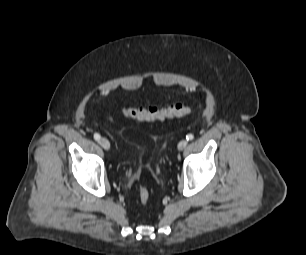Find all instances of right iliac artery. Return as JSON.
I'll use <instances>...</instances> for the list:
<instances>
[{
  "instance_id": "right-iliac-artery-1",
  "label": "right iliac artery",
  "mask_w": 306,
  "mask_h": 255,
  "mask_svg": "<svg viewBox=\"0 0 306 255\" xmlns=\"http://www.w3.org/2000/svg\"><path fill=\"white\" fill-rule=\"evenodd\" d=\"M100 138H101V137H100V135H99L98 133H95V134H94V139H95V140L99 141Z\"/></svg>"
}]
</instances>
